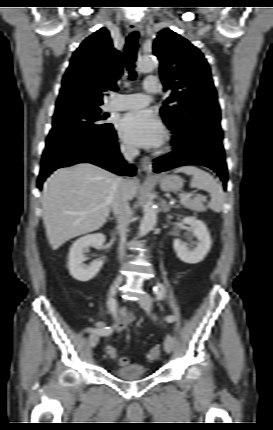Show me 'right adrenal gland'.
I'll return each instance as SVG.
<instances>
[{
  "instance_id": "1",
  "label": "right adrenal gland",
  "mask_w": 273,
  "mask_h": 430,
  "mask_svg": "<svg viewBox=\"0 0 273 430\" xmlns=\"http://www.w3.org/2000/svg\"><path fill=\"white\" fill-rule=\"evenodd\" d=\"M109 220H114V218H109Z\"/></svg>"
}]
</instances>
